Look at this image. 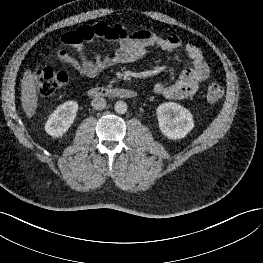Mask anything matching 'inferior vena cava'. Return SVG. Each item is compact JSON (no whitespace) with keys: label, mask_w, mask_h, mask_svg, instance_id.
Returning a JSON list of instances; mask_svg holds the SVG:
<instances>
[{"label":"inferior vena cava","mask_w":263,"mask_h":263,"mask_svg":"<svg viewBox=\"0 0 263 263\" xmlns=\"http://www.w3.org/2000/svg\"><path fill=\"white\" fill-rule=\"evenodd\" d=\"M91 106L96 110H102L106 106V100L102 97L94 98L91 102Z\"/></svg>","instance_id":"obj_1"}]
</instances>
